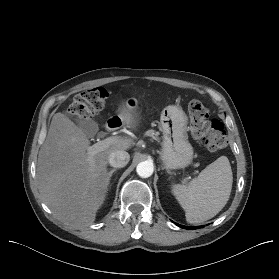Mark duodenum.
<instances>
[{
  "instance_id": "1",
  "label": "duodenum",
  "mask_w": 279,
  "mask_h": 279,
  "mask_svg": "<svg viewBox=\"0 0 279 279\" xmlns=\"http://www.w3.org/2000/svg\"><path fill=\"white\" fill-rule=\"evenodd\" d=\"M119 121L116 119H111L108 121L107 123V129L108 131H114V129L116 128V126L118 125Z\"/></svg>"
}]
</instances>
